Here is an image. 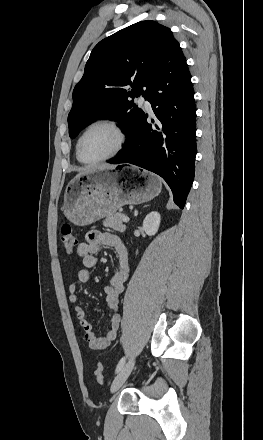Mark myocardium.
<instances>
[{
	"mask_svg": "<svg viewBox=\"0 0 263 440\" xmlns=\"http://www.w3.org/2000/svg\"><path fill=\"white\" fill-rule=\"evenodd\" d=\"M98 125H107V126L112 127L115 130V132L118 135L117 146L110 154H108L105 157H102L100 159L93 160V161L84 160L81 157V152H80L81 142H82L84 136L87 134V132L90 129H92L93 127L98 126ZM126 143H127V133H126L124 127L117 120L112 119V118H99V119L91 122L83 130V132L80 134V136L77 140V143H76V156H77V159L83 164L95 165V164L103 163V162H106V161L116 157L124 149Z\"/></svg>",
	"mask_w": 263,
	"mask_h": 440,
	"instance_id": "obj_1",
	"label": "myocardium"
}]
</instances>
